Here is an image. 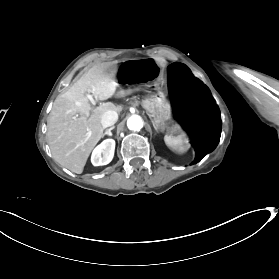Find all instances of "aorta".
I'll list each match as a JSON object with an SVG mask.
<instances>
[{
	"instance_id": "762f6f07",
	"label": "aorta",
	"mask_w": 279,
	"mask_h": 279,
	"mask_svg": "<svg viewBox=\"0 0 279 279\" xmlns=\"http://www.w3.org/2000/svg\"><path fill=\"white\" fill-rule=\"evenodd\" d=\"M127 126L130 130L139 131L143 127V121L140 116L134 115L127 120Z\"/></svg>"
}]
</instances>
